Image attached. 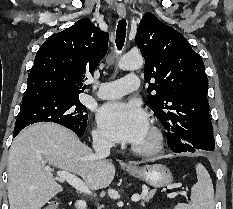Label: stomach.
<instances>
[{"mask_svg":"<svg viewBox=\"0 0 233 209\" xmlns=\"http://www.w3.org/2000/svg\"><path fill=\"white\" fill-rule=\"evenodd\" d=\"M129 174L154 188H161L173 180L171 171L162 164L147 165L136 169H127Z\"/></svg>","mask_w":233,"mask_h":209,"instance_id":"1","label":"stomach"}]
</instances>
